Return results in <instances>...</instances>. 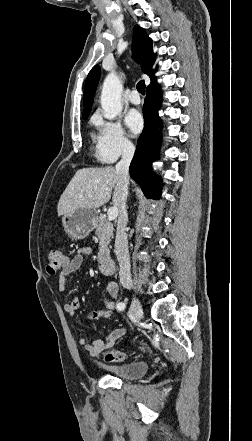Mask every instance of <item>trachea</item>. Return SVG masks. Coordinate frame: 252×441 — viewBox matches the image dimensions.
<instances>
[{
	"label": "trachea",
	"instance_id": "obj_1",
	"mask_svg": "<svg viewBox=\"0 0 252 441\" xmlns=\"http://www.w3.org/2000/svg\"><path fill=\"white\" fill-rule=\"evenodd\" d=\"M138 92H140L142 95H145V82L144 80H141L137 83L136 86Z\"/></svg>",
	"mask_w": 252,
	"mask_h": 441
}]
</instances>
